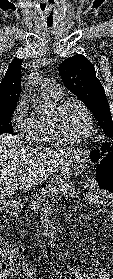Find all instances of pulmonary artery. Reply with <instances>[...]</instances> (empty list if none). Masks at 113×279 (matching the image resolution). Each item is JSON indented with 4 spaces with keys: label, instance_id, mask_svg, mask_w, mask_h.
Segmentation results:
<instances>
[{
    "label": "pulmonary artery",
    "instance_id": "obj_1",
    "mask_svg": "<svg viewBox=\"0 0 113 279\" xmlns=\"http://www.w3.org/2000/svg\"><path fill=\"white\" fill-rule=\"evenodd\" d=\"M42 89L45 93H49L57 97L61 96V87L56 81L47 80L42 84Z\"/></svg>",
    "mask_w": 113,
    "mask_h": 279
}]
</instances>
